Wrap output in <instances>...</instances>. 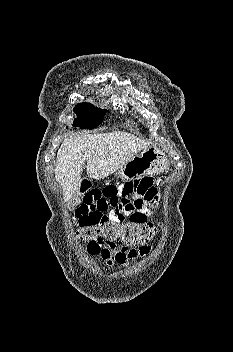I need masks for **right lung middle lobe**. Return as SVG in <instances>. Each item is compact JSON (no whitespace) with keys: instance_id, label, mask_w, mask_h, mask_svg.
<instances>
[{"instance_id":"dd1d6c3e","label":"right lung middle lobe","mask_w":233,"mask_h":352,"mask_svg":"<svg viewBox=\"0 0 233 352\" xmlns=\"http://www.w3.org/2000/svg\"><path fill=\"white\" fill-rule=\"evenodd\" d=\"M74 112L78 117L74 120L73 126L92 129L102 122L106 109L96 108L90 103L83 102L75 106Z\"/></svg>"}]
</instances>
